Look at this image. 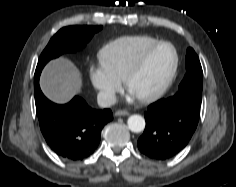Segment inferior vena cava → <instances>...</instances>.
<instances>
[{
  "mask_svg": "<svg viewBox=\"0 0 236 187\" xmlns=\"http://www.w3.org/2000/svg\"><path fill=\"white\" fill-rule=\"evenodd\" d=\"M97 101L100 107L107 108L116 103V96L111 92H99L97 95Z\"/></svg>",
  "mask_w": 236,
  "mask_h": 187,
  "instance_id": "602c4592",
  "label": "inferior vena cava"
}]
</instances>
